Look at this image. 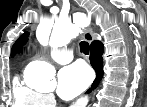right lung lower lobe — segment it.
<instances>
[{
  "label": "right lung lower lobe",
  "mask_w": 147,
  "mask_h": 107,
  "mask_svg": "<svg viewBox=\"0 0 147 107\" xmlns=\"http://www.w3.org/2000/svg\"><path fill=\"white\" fill-rule=\"evenodd\" d=\"M103 51H104V46L100 41L92 42L90 63L96 72V79L92 84V88L89 89L88 92H90L92 89H95L103 77V58H102Z\"/></svg>",
  "instance_id": "obj_1"
}]
</instances>
